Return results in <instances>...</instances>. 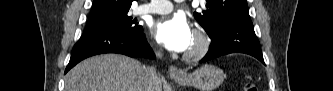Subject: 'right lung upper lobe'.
<instances>
[{"label":"right lung upper lobe","mask_w":333,"mask_h":91,"mask_svg":"<svg viewBox=\"0 0 333 91\" xmlns=\"http://www.w3.org/2000/svg\"><path fill=\"white\" fill-rule=\"evenodd\" d=\"M132 0H94L90 19L111 16L129 11Z\"/></svg>","instance_id":"cb5924a9"}]
</instances>
